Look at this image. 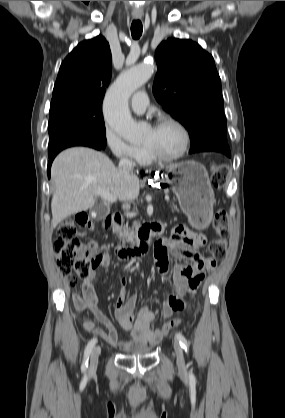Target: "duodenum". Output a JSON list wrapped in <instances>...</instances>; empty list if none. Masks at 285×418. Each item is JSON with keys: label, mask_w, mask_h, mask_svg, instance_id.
Wrapping results in <instances>:
<instances>
[{"label": "duodenum", "mask_w": 285, "mask_h": 418, "mask_svg": "<svg viewBox=\"0 0 285 418\" xmlns=\"http://www.w3.org/2000/svg\"><path fill=\"white\" fill-rule=\"evenodd\" d=\"M122 216L120 213L116 212L112 216V227L115 233H118L122 226ZM156 232V226L150 225L147 226L144 232L140 235V243L134 247L129 246H118L115 249V254L119 259L129 260L134 257H139L145 255L149 249L148 239L151 235Z\"/></svg>", "instance_id": "410a0bca"}]
</instances>
